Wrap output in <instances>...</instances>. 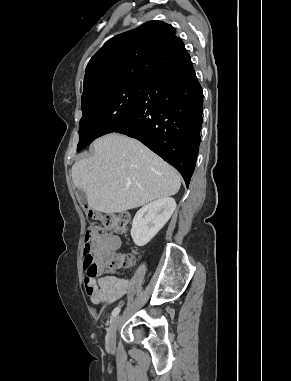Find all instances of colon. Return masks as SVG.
<instances>
[{
    "label": "colon",
    "instance_id": "obj_1",
    "mask_svg": "<svg viewBox=\"0 0 291 381\" xmlns=\"http://www.w3.org/2000/svg\"><path fill=\"white\" fill-rule=\"evenodd\" d=\"M94 224L87 229L83 245V266L90 277H96L103 270H126L133 266L135 255L117 254L113 251L100 252L94 234L100 229L107 234L128 233L131 217L127 213L102 214L90 211Z\"/></svg>",
    "mask_w": 291,
    "mask_h": 381
}]
</instances>
